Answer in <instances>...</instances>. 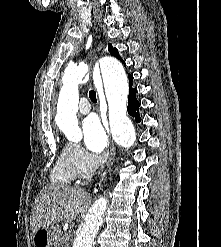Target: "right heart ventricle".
<instances>
[{"instance_id":"right-heart-ventricle-1","label":"right heart ventricle","mask_w":221,"mask_h":247,"mask_svg":"<svg viewBox=\"0 0 221 247\" xmlns=\"http://www.w3.org/2000/svg\"><path fill=\"white\" fill-rule=\"evenodd\" d=\"M75 177L76 175L68 162L66 151L63 149L51 172V178L54 182L68 184L72 182Z\"/></svg>"}]
</instances>
